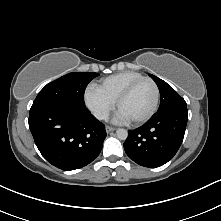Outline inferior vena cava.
<instances>
[{"instance_id":"obj_1","label":"inferior vena cava","mask_w":221,"mask_h":221,"mask_svg":"<svg viewBox=\"0 0 221 221\" xmlns=\"http://www.w3.org/2000/svg\"><path fill=\"white\" fill-rule=\"evenodd\" d=\"M94 116L99 120H107L109 118V113L106 110H96Z\"/></svg>"}]
</instances>
